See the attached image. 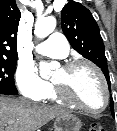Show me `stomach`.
Segmentation results:
<instances>
[{"label": "stomach", "mask_w": 117, "mask_h": 131, "mask_svg": "<svg viewBox=\"0 0 117 131\" xmlns=\"http://www.w3.org/2000/svg\"><path fill=\"white\" fill-rule=\"evenodd\" d=\"M81 120L73 114L67 113L55 118V131H80Z\"/></svg>", "instance_id": "1"}]
</instances>
